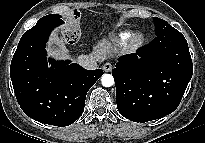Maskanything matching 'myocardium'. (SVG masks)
I'll return each instance as SVG.
<instances>
[{
    "label": "myocardium",
    "instance_id": "myocardium-1",
    "mask_svg": "<svg viewBox=\"0 0 205 143\" xmlns=\"http://www.w3.org/2000/svg\"><path fill=\"white\" fill-rule=\"evenodd\" d=\"M145 42V35L141 32H135L130 37V46L133 49L140 48Z\"/></svg>",
    "mask_w": 205,
    "mask_h": 143
}]
</instances>
